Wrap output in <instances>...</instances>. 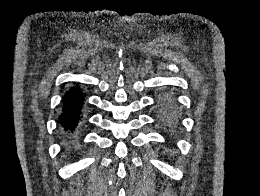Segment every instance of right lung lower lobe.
<instances>
[{
    "label": "right lung lower lobe",
    "instance_id": "obj_1",
    "mask_svg": "<svg viewBox=\"0 0 260 196\" xmlns=\"http://www.w3.org/2000/svg\"><path fill=\"white\" fill-rule=\"evenodd\" d=\"M75 85L64 93L58 117L59 129L67 149L74 147L84 124L85 94L77 84Z\"/></svg>",
    "mask_w": 260,
    "mask_h": 196
}]
</instances>
